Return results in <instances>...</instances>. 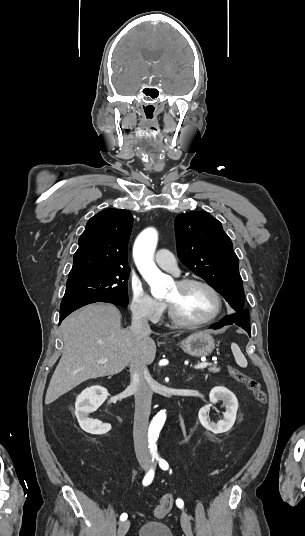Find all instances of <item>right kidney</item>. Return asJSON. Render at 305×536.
Listing matches in <instances>:
<instances>
[{
    "mask_svg": "<svg viewBox=\"0 0 305 536\" xmlns=\"http://www.w3.org/2000/svg\"><path fill=\"white\" fill-rule=\"evenodd\" d=\"M101 394L102 396H106L105 388L92 386V388H86L76 400L77 420L82 430L88 432V434H104V426H102L101 422H95V420L88 418V414L97 410V406L92 404V400L96 404V402H99Z\"/></svg>",
    "mask_w": 305,
    "mask_h": 536,
    "instance_id": "1",
    "label": "right kidney"
}]
</instances>
